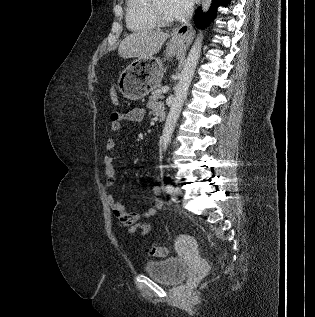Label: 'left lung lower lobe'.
<instances>
[{"label":"left lung lower lobe","mask_w":315,"mask_h":317,"mask_svg":"<svg viewBox=\"0 0 315 317\" xmlns=\"http://www.w3.org/2000/svg\"><path fill=\"white\" fill-rule=\"evenodd\" d=\"M219 1L222 4L228 3L230 0H213V5L206 15H203L201 8L199 7L195 14V24L198 28H204L209 20H213L215 18V12L217 9V5Z\"/></svg>","instance_id":"left-lung-lower-lobe-1"}]
</instances>
